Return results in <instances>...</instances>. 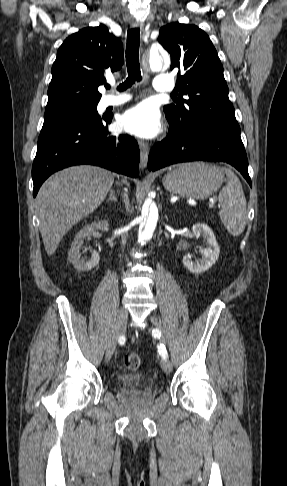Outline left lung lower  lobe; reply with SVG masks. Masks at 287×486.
<instances>
[{"label": "left lung lower lobe", "mask_w": 287, "mask_h": 486, "mask_svg": "<svg viewBox=\"0 0 287 486\" xmlns=\"http://www.w3.org/2000/svg\"><path fill=\"white\" fill-rule=\"evenodd\" d=\"M167 137L150 151L148 168L155 171L175 163L223 161L234 166L251 186L247 155L240 135L209 126H179L169 120Z\"/></svg>", "instance_id": "obj_1"}]
</instances>
